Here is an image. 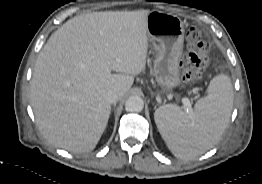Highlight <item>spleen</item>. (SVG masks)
<instances>
[{
    "mask_svg": "<svg viewBox=\"0 0 262 184\" xmlns=\"http://www.w3.org/2000/svg\"><path fill=\"white\" fill-rule=\"evenodd\" d=\"M233 100L230 78L219 74L210 81L207 95L189 112L175 104L156 109L155 123L174 156L191 160L211 149L228 125Z\"/></svg>",
    "mask_w": 262,
    "mask_h": 184,
    "instance_id": "obj_1",
    "label": "spleen"
}]
</instances>
